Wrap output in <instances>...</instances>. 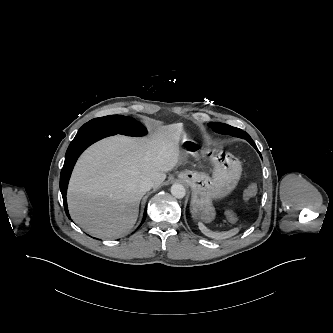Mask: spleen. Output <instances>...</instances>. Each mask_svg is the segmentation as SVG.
<instances>
[{
  "label": "spleen",
  "instance_id": "obj_1",
  "mask_svg": "<svg viewBox=\"0 0 333 333\" xmlns=\"http://www.w3.org/2000/svg\"><path fill=\"white\" fill-rule=\"evenodd\" d=\"M198 226H199L200 231L204 235L214 238V239H226V238L236 235L239 232L238 228L231 229L227 232H212L203 223H199Z\"/></svg>",
  "mask_w": 333,
  "mask_h": 333
}]
</instances>
